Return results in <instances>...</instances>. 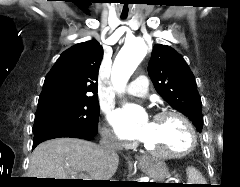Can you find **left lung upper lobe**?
<instances>
[{"instance_id": "5c2ea615", "label": "left lung upper lobe", "mask_w": 240, "mask_h": 187, "mask_svg": "<svg viewBox=\"0 0 240 187\" xmlns=\"http://www.w3.org/2000/svg\"><path fill=\"white\" fill-rule=\"evenodd\" d=\"M148 73L159 95L173 108L188 116L201 132V98L194 75L184 58L171 47L157 44L152 51Z\"/></svg>"}]
</instances>
